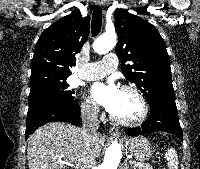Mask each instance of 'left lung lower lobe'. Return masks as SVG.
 Segmentation results:
<instances>
[{
    "label": "left lung lower lobe",
    "mask_w": 200,
    "mask_h": 169,
    "mask_svg": "<svg viewBox=\"0 0 200 169\" xmlns=\"http://www.w3.org/2000/svg\"><path fill=\"white\" fill-rule=\"evenodd\" d=\"M158 131L172 133L183 141L175 100L158 99L152 102L146 121L141 126L127 129L126 133L129 136H138Z\"/></svg>",
    "instance_id": "obj_1"
}]
</instances>
